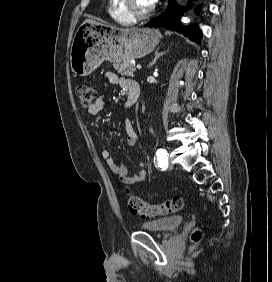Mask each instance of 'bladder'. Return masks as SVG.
<instances>
[{"label": "bladder", "instance_id": "bladder-1", "mask_svg": "<svg viewBox=\"0 0 272 282\" xmlns=\"http://www.w3.org/2000/svg\"><path fill=\"white\" fill-rule=\"evenodd\" d=\"M184 221V215H172L166 218L158 219L151 222H146L141 225V229L148 232H168L178 226Z\"/></svg>", "mask_w": 272, "mask_h": 282}]
</instances>
